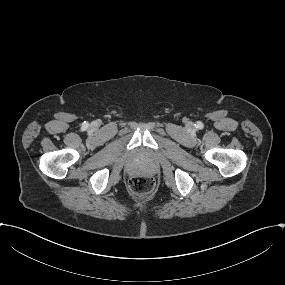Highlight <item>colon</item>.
<instances>
[{
	"label": "colon",
	"mask_w": 285,
	"mask_h": 285,
	"mask_svg": "<svg viewBox=\"0 0 285 285\" xmlns=\"http://www.w3.org/2000/svg\"><path fill=\"white\" fill-rule=\"evenodd\" d=\"M130 190L138 195H146L153 192L155 181L149 175H134L129 180Z\"/></svg>",
	"instance_id": "obj_1"
}]
</instances>
